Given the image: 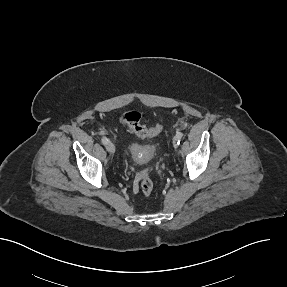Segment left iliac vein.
Listing matches in <instances>:
<instances>
[{
    "mask_svg": "<svg viewBox=\"0 0 287 287\" xmlns=\"http://www.w3.org/2000/svg\"><path fill=\"white\" fill-rule=\"evenodd\" d=\"M177 144H178V141H177V137L175 136L173 138V146L176 148L177 147Z\"/></svg>",
    "mask_w": 287,
    "mask_h": 287,
    "instance_id": "4c4485c4",
    "label": "left iliac vein"
}]
</instances>
